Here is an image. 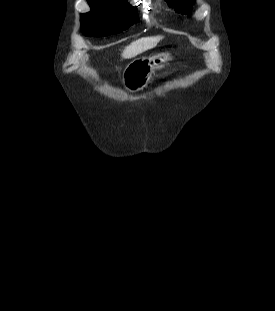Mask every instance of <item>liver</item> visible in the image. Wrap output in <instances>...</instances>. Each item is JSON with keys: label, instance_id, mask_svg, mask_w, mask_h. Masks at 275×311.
Segmentation results:
<instances>
[{"label": "liver", "instance_id": "liver-1", "mask_svg": "<svg viewBox=\"0 0 275 311\" xmlns=\"http://www.w3.org/2000/svg\"><path fill=\"white\" fill-rule=\"evenodd\" d=\"M162 38V36H152L134 41L125 47L122 52V57L125 59L133 58L138 54H141L143 51L155 47Z\"/></svg>", "mask_w": 275, "mask_h": 311}]
</instances>
